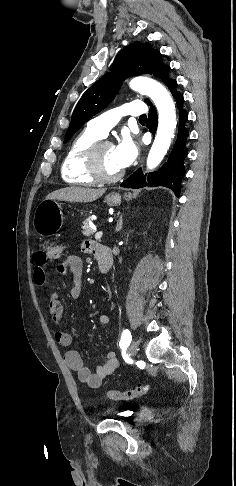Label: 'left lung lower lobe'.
Segmentation results:
<instances>
[{
	"label": "left lung lower lobe",
	"instance_id": "obj_1",
	"mask_svg": "<svg viewBox=\"0 0 236 486\" xmlns=\"http://www.w3.org/2000/svg\"><path fill=\"white\" fill-rule=\"evenodd\" d=\"M165 85L170 89L179 109V128L175 145L169 155L167 162L155 172L143 175L141 170L134 172L128 179L121 183L122 187L142 188L145 186H165L173 190L177 197L180 194L181 179L185 175L183 160L187 156L186 141L188 132L185 129V122L188 120V113L183 110V96L176 92L177 82L169 79ZM151 105V103H148ZM147 127L155 134L157 128V111L151 106Z\"/></svg>",
	"mask_w": 236,
	"mask_h": 486
}]
</instances>
